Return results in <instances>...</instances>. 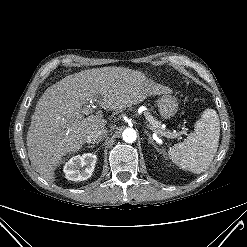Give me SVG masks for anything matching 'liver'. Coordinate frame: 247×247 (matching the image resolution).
<instances>
[{
  "label": "liver",
  "mask_w": 247,
  "mask_h": 247,
  "mask_svg": "<svg viewBox=\"0 0 247 247\" xmlns=\"http://www.w3.org/2000/svg\"><path fill=\"white\" fill-rule=\"evenodd\" d=\"M135 70L103 67L66 76L39 99L27 132L32 167L49 182L63 156L82 148L87 136L107 124L101 112L83 117L82 106L97 101L105 110H122L148 96L171 93Z\"/></svg>",
  "instance_id": "6515ba94"
}]
</instances>
